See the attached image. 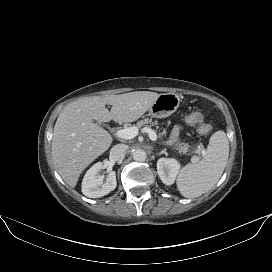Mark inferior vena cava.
I'll use <instances>...</instances> for the list:
<instances>
[{"mask_svg": "<svg viewBox=\"0 0 272 272\" xmlns=\"http://www.w3.org/2000/svg\"><path fill=\"white\" fill-rule=\"evenodd\" d=\"M127 149L128 146L125 144H117L113 146L110 150V159L113 161L120 160L126 154Z\"/></svg>", "mask_w": 272, "mask_h": 272, "instance_id": "602c4592", "label": "inferior vena cava"}]
</instances>
